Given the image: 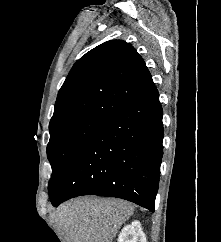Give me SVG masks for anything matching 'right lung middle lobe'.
I'll return each instance as SVG.
<instances>
[{
  "instance_id": "obj_1",
  "label": "right lung middle lobe",
  "mask_w": 221,
  "mask_h": 242,
  "mask_svg": "<svg viewBox=\"0 0 221 242\" xmlns=\"http://www.w3.org/2000/svg\"><path fill=\"white\" fill-rule=\"evenodd\" d=\"M101 122L100 120L86 119L50 130L47 155L52 167V177L48 185L49 192L62 175L70 158Z\"/></svg>"
}]
</instances>
